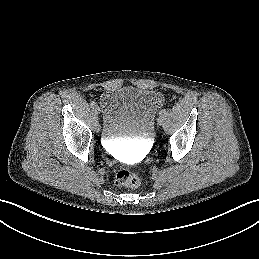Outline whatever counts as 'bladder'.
<instances>
[{"mask_svg":"<svg viewBox=\"0 0 259 259\" xmlns=\"http://www.w3.org/2000/svg\"><path fill=\"white\" fill-rule=\"evenodd\" d=\"M161 103L160 93L152 89L124 87L107 92L102 97V137L111 142H149Z\"/></svg>","mask_w":259,"mask_h":259,"instance_id":"1","label":"bladder"}]
</instances>
